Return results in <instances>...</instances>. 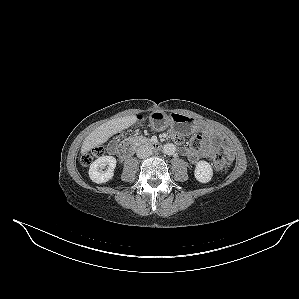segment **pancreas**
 I'll use <instances>...</instances> for the list:
<instances>
[{
    "instance_id": "obj_1",
    "label": "pancreas",
    "mask_w": 299,
    "mask_h": 299,
    "mask_svg": "<svg viewBox=\"0 0 299 299\" xmlns=\"http://www.w3.org/2000/svg\"><path fill=\"white\" fill-rule=\"evenodd\" d=\"M134 141L135 142H146V141H148V139L143 136H137V137H134Z\"/></svg>"
}]
</instances>
